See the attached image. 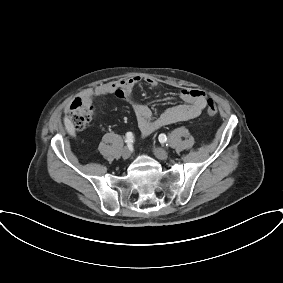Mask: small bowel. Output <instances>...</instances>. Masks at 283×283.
Listing matches in <instances>:
<instances>
[{
    "instance_id": "1",
    "label": "small bowel",
    "mask_w": 283,
    "mask_h": 283,
    "mask_svg": "<svg viewBox=\"0 0 283 283\" xmlns=\"http://www.w3.org/2000/svg\"><path fill=\"white\" fill-rule=\"evenodd\" d=\"M142 81L150 87L158 86V81L154 78L143 79L140 76H134L86 89L82 92L81 98L92 103L94 97L115 95L125 101L131 106L137 118L140 132L144 137L164 126L196 118L207 104V96L202 90L184 89L180 94L184 103L165 109L154 119L149 105L139 101L133 95L134 88Z\"/></svg>"
}]
</instances>
